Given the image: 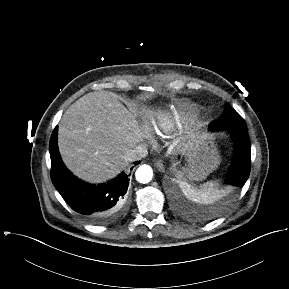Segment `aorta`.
Here are the masks:
<instances>
[{"mask_svg":"<svg viewBox=\"0 0 289 289\" xmlns=\"http://www.w3.org/2000/svg\"><path fill=\"white\" fill-rule=\"evenodd\" d=\"M136 180L140 183H148L152 179L153 170L149 165H141L135 173Z\"/></svg>","mask_w":289,"mask_h":289,"instance_id":"762f6f07","label":"aorta"}]
</instances>
